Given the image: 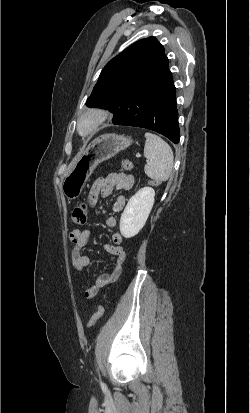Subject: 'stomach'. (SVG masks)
<instances>
[{"instance_id": "1", "label": "stomach", "mask_w": 250, "mask_h": 413, "mask_svg": "<svg viewBox=\"0 0 250 413\" xmlns=\"http://www.w3.org/2000/svg\"><path fill=\"white\" fill-rule=\"evenodd\" d=\"M132 143L131 138L117 134H103L94 139L63 180L62 191L66 198H78L96 166L128 148Z\"/></svg>"}]
</instances>
